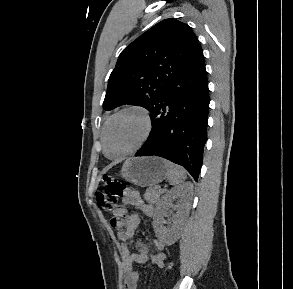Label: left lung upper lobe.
I'll return each mask as SVG.
<instances>
[{
    "mask_svg": "<svg viewBox=\"0 0 293 289\" xmlns=\"http://www.w3.org/2000/svg\"><path fill=\"white\" fill-rule=\"evenodd\" d=\"M201 52L187 24L173 18L162 20L120 54L108 80L104 109L132 104L151 110L167 86Z\"/></svg>",
    "mask_w": 293,
    "mask_h": 289,
    "instance_id": "obj_1",
    "label": "left lung upper lobe"
}]
</instances>
